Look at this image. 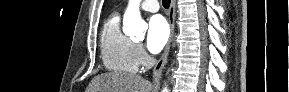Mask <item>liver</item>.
Segmentation results:
<instances>
[{
  "label": "liver",
  "mask_w": 289,
  "mask_h": 92,
  "mask_svg": "<svg viewBox=\"0 0 289 92\" xmlns=\"http://www.w3.org/2000/svg\"><path fill=\"white\" fill-rule=\"evenodd\" d=\"M152 85L141 77L121 74L104 73L97 75L88 85L86 92H151Z\"/></svg>",
  "instance_id": "6515ba94"
}]
</instances>
